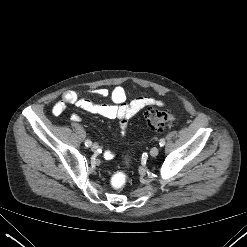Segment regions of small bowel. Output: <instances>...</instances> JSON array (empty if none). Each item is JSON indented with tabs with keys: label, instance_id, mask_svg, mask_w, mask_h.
Returning <instances> with one entry per match:
<instances>
[{
	"label": "small bowel",
	"instance_id": "small-bowel-1",
	"mask_svg": "<svg viewBox=\"0 0 247 247\" xmlns=\"http://www.w3.org/2000/svg\"><path fill=\"white\" fill-rule=\"evenodd\" d=\"M94 95L102 98H110V103L96 104L90 99L82 96L76 91H67L63 93L61 100L57 102L53 107V113L55 115L62 114L68 104L75 105L91 114L100 115L109 119H118L121 126V135L124 136L127 121L137 115L141 110L150 105H162L161 101H158L149 96H139L129 103L126 102V91L122 86H115L111 91L105 88H100L92 91ZM81 116L78 114H72L71 120L74 122H80ZM115 152L113 150H107L103 156L106 160H110L114 157Z\"/></svg>",
	"mask_w": 247,
	"mask_h": 247
}]
</instances>
